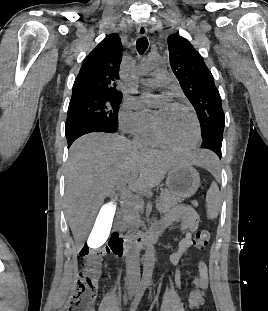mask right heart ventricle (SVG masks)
Here are the masks:
<instances>
[{"instance_id":"right-heart-ventricle-1","label":"right heart ventricle","mask_w":268,"mask_h":311,"mask_svg":"<svg viewBox=\"0 0 268 311\" xmlns=\"http://www.w3.org/2000/svg\"><path fill=\"white\" fill-rule=\"evenodd\" d=\"M135 138L138 142H140L144 145H148V146H160V145H162L154 133L153 126L146 129L145 131L141 132L140 134L136 135Z\"/></svg>"}]
</instances>
